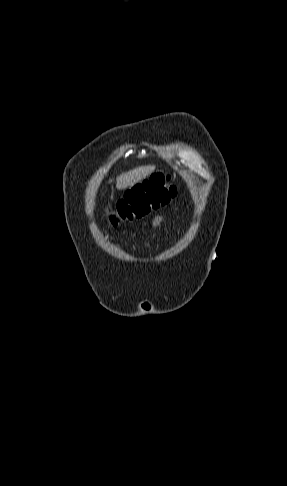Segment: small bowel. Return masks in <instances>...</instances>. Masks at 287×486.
Here are the masks:
<instances>
[{
    "mask_svg": "<svg viewBox=\"0 0 287 486\" xmlns=\"http://www.w3.org/2000/svg\"><path fill=\"white\" fill-rule=\"evenodd\" d=\"M164 221H165V216L157 215L152 219L151 226L153 228H158L163 224Z\"/></svg>",
    "mask_w": 287,
    "mask_h": 486,
    "instance_id": "obj_1",
    "label": "small bowel"
}]
</instances>
